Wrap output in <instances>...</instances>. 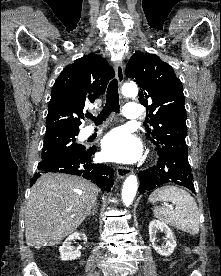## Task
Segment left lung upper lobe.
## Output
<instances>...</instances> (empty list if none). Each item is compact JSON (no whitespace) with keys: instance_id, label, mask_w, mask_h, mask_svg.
I'll list each match as a JSON object with an SVG mask.
<instances>
[{"instance_id":"obj_1","label":"left lung upper lobe","mask_w":221,"mask_h":276,"mask_svg":"<svg viewBox=\"0 0 221 276\" xmlns=\"http://www.w3.org/2000/svg\"><path fill=\"white\" fill-rule=\"evenodd\" d=\"M125 74L141 88L139 101L147 107V121L153 127L146 129L150 141L156 148L188 151L185 97L172 67L155 54L135 53Z\"/></svg>"}]
</instances>
